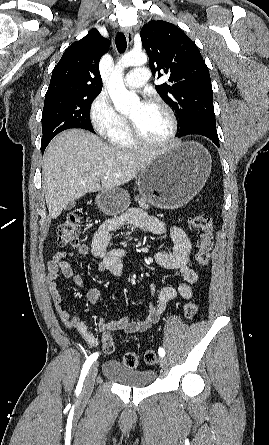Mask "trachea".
Instances as JSON below:
<instances>
[{
  "label": "trachea",
  "instance_id": "3493384b",
  "mask_svg": "<svg viewBox=\"0 0 269 445\" xmlns=\"http://www.w3.org/2000/svg\"><path fill=\"white\" fill-rule=\"evenodd\" d=\"M116 47L119 53H124L127 47L126 37L123 33H118L116 36Z\"/></svg>",
  "mask_w": 269,
  "mask_h": 445
}]
</instances>
